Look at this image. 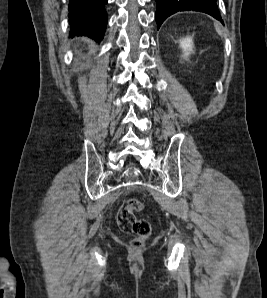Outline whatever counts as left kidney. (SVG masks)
Here are the masks:
<instances>
[{
    "instance_id": "obj_1",
    "label": "left kidney",
    "mask_w": 267,
    "mask_h": 298,
    "mask_svg": "<svg viewBox=\"0 0 267 298\" xmlns=\"http://www.w3.org/2000/svg\"><path fill=\"white\" fill-rule=\"evenodd\" d=\"M180 47L183 49V56L188 57L193 48L192 38L188 36L180 40Z\"/></svg>"
}]
</instances>
